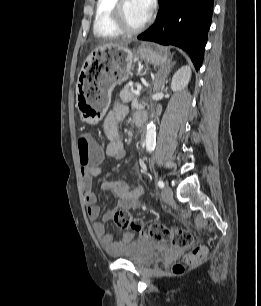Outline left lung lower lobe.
I'll return each instance as SVG.
<instances>
[{
  "mask_svg": "<svg viewBox=\"0 0 261 306\" xmlns=\"http://www.w3.org/2000/svg\"><path fill=\"white\" fill-rule=\"evenodd\" d=\"M159 5L155 23L138 39L182 48L198 70L211 25L213 0H159Z\"/></svg>",
  "mask_w": 261,
  "mask_h": 306,
  "instance_id": "1",
  "label": "left lung lower lobe"
}]
</instances>
